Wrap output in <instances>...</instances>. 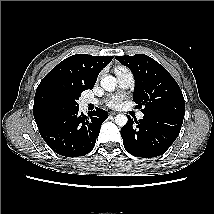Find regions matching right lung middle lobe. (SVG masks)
Wrapping results in <instances>:
<instances>
[{
	"label": "right lung middle lobe",
	"instance_id": "obj_1",
	"mask_svg": "<svg viewBox=\"0 0 214 214\" xmlns=\"http://www.w3.org/2000/svg\"><path fill=\"white\" fill-rule=\"evenodd\" d=\"M82 92L83 90L81 89L54 85L47 89L44 100L50 108L56 111L72 109L79 106L77 100Z\"/></svg>",
	"mask_w": 214,
	"mask_h": 214
}]
</instances>
